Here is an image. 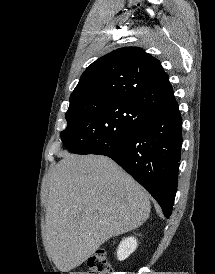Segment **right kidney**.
<instances>
[{"label": "right kidney", "instance_id": "obj_1", "mask_svg": "<svg viewBox=\"0 0 215 274\" xmlns=\"http://www.w3.org/2000/svg\"><path fill=\"white\" fill-rule=\"evenodd\" d=\"M137 248V241L134 237L123 239L117 249V258L122 261L132 254Z\"/></svg>", "mask_w": 215, "mask_h": 274}]
</instances>
